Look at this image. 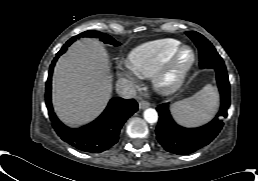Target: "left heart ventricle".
I'll list each match as a JSON object with an SVG mask.
<instances>
[{"label":"left heart ventricle","mask_w":258,"mask_h":181,"mask_svg":"<svg viewBox=\"0 0 258 181\" xmlns=\"http://www.w3.org/2000/svg\"><path fill=\"white\" fill-rule=\"evenodd\" d=\"M189 59H190V52H189V51H185V52L182 54L180 60H181L182 63H185V62L189 61Z\"/></svg>","instance_id":"left-heart-ventricle-1"}]
</instances>
